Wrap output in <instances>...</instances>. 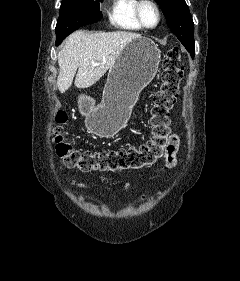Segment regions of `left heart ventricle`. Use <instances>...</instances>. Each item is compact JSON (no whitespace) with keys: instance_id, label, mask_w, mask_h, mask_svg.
I'll list each match as a JSON object with an SVG mask.
<instances>
[{"instance_id":"left-heart-ventricle-1","label":"left heart ventricle","mask_w":240,"mask_h":281,"mask_svg":"<svg viewBox=\"0 0 240 281\" xmlns=\"http://www.w3.org/2000/svg\"><path fill=\"white\" fill-rule=\"evenodd\" d=\"M142 16L147 25H154L157 21V14L153 6L146 4L142 8Z\"/></svg>"}]
</instances>
